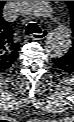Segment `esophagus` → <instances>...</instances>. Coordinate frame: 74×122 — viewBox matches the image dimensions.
<instances>
[{"label":"esophagus","mask_w":74,"mask_h":122,"mask_svg":"<svg viewBox=\"0 0 74 122\" xmlns=\"http://www.w3.org/2000/svg\"><path fill=\"white\" fill-rule=\"evenodd\" d=\"M48 31L43 30L41 33H35L31 36L34 40H43L47 37Z\"/></svg>","instance_id":"1"}]
</instances>
